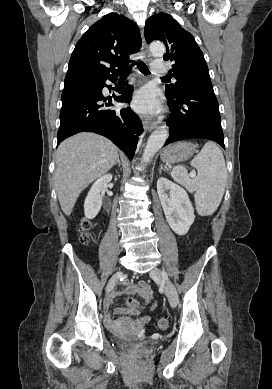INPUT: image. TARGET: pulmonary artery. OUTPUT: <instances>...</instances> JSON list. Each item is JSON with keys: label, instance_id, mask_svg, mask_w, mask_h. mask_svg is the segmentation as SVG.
<instances>
[{"label": "pulmonary artery", "instance_id": "e3ab8cb5", "mask_svg": "<svg viewBox=\"0 0 272 389\" xmlns=\"http://www.w3.org/2000/svg\"><path fill=\"white\" fill-rule=\"evenodd\" d=\"M151 70L156 74H166L168 72L166 62L163 59H155L152 62Z\"/></svg>", "mask_w": 272, "mask_h": 389}]
</instances>
